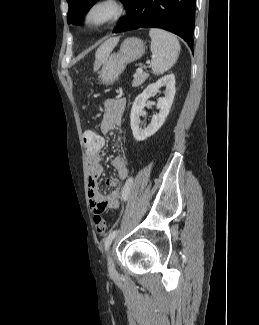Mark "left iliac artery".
I'll list each match as a JSON object with an SVG mask.
<instances>
[{
	"instance_id": "left-iliac-artery-1",
	"label": "left iliac artery",
	"mask_w": 259,
	"mask_h": 325,
	"mask_svg": "<svg viewBox=\"0 0 259 325\" xmlns=\"http://www.w3.org/2000/svg\"><path fill=\"white\" fill-rule=\"evenodd\" d=\"M132 182H133V179L129 178L124 186L123 193H122V198L124 201H126L128 199V195L130 192ZM117 233H118V230H114V231L110 232L109 235L107 236V238L105 239L104 246H105L106 251L108 250L111 242L113 241V239L115 238Z\"/></svg>"
}]
</instances>
